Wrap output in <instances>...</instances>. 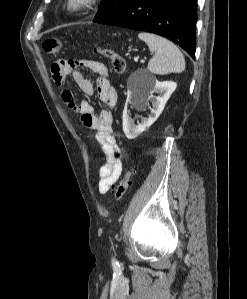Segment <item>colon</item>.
Segmentation results:
<instances>
[{
	"label": "colon",
	"mask_w": 247,
	"mask_h": 299,
	"mask_svg": "<svg viewBox=\"0 0 247 299\" xmlns=\"http://www.w3.org/2000/svg\"><path fill=\"white\" fill-rule=\"evenodd\" d=\"M43 49L50 55H57L61 50V41L56 38H47L43 41ZM95 52L111 62L112 69L117 74H123L126 71L127 64L124 57L112 49L96 48ZM134 173L133 168H128L124 177L115 187L113 194L116 201L124 199L128 188L131 185V177Z\"/></svg>",
	"instance_id": "5ec220e1"
}]
</instances>
